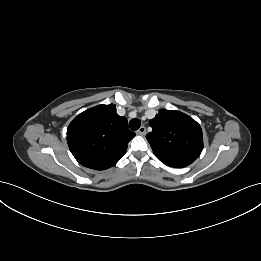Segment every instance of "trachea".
Segmentation results:
<instances>
[{
	"instance_id": "3493384b",
	"label": "trachea",
	"mask_w": 261,
	"mask_h": 261,
	"mask_svg": "<svg viewBox=\"0 0 261 261\" xmlns=\"http://www.w3.org/2000/svg\"><path fill=\"white\" fill-rule=\"evenodd\" d=\"M141 126V121L140 119H137V118H134V119H131L130 122H129V127L131 130H138Z\"/></svg>"
}]
</instances>
